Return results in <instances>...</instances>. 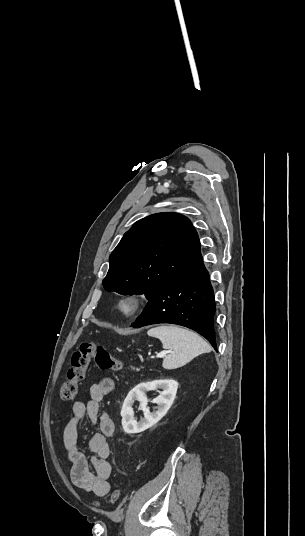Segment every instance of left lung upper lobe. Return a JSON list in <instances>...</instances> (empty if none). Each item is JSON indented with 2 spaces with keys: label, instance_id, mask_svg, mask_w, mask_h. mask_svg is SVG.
<instances>
[{
  "label": "left lung upper lobe",
  "instance_id": "left-lung-upper-lobe-1",
  "mask_svg": "<svg viewBox=\"0 0 305 536\" xmlns=\"http://www.w3.org/2000/svg\"><path fill=\"white\" fill-rule=\"evenodd\" d=\"M200 254L198 234L187 217L153 214L124 234L110 255L103 286L122 295L145 294L150 300Z\"/></svg>",
  "mask_w": 305,
  "mask_h": 536
}]
</instances>
